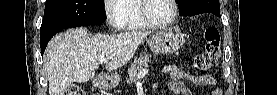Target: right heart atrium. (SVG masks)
<instances>
[{"label":"right heart atrium","instance_id":"d8ad5b80","mask_svg":"<svg viewBox=\"0 0 277 95\" xmlns=\"http://www.w3.org/2000/svg\"><path fill=\"white\" fill-rule=\"evenodd\" d=\"M120 0H106L104 2V13L106 16L107 23L112 29H120V19L119 14L114 8V4Z\"/></svg>","mask_w":277,"mask_h":95}]
</instances>
